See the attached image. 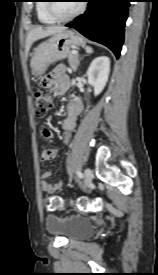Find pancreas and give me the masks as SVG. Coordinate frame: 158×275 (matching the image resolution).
I'll use <instances>...</instances> for the list:
<instances>
[{
  "label": "pancreas",
  "instance_id": "cf45deb5",
  "mask_svg": "<svg viewBox=\"0 0 158 275\" xmlns=\"http://www.w3.org/2000/svg\"><path fill=\"white\" fill-rule=\"evenodd\" d=\"M68 62L73 71H75L79 65V57L73 53H70L68 56Z\"/></svg>",
  "mask_w": 158,
  "mask_h": 275
}]
</instances>
